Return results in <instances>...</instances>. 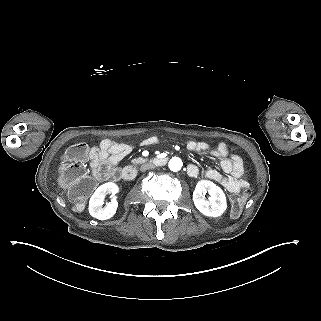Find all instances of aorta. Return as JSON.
<instances>
[{"label": "aorta", "instance_id": "1", "mask_svg": "<svg viewBox=\"0 0 321 321\" xmlns=\"http://www.w3.org/2000/svg\"><path fill=\"white\" fill-rule=\"evenodd\" d=\"M182 165H183L182 160L178 157H173L172 159H170L168 164L170 170L174 172L179 171Z\"/></svg>", "mask_w": 321, "mask_h": 321}]
</instances>
